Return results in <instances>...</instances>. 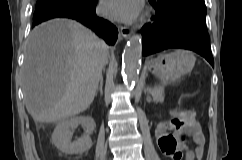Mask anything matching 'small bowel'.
<instances>
[{
	"mask_svg": "<svg viewBox=\"0 0 242 160\" xmlns=\"http://www.w3.org/2000/svg\"><path fill=\"white\" fill-rule=\"evenodd\" d=\"M173 129V133L168 130ZM160 150L172 160H195L201 158L205 139L199 124L192 114L185 112L178 115L176 122L166 123L156 133ZM187 138L194 143L187 145Z\"/></svg>",
	"mask_w": 242,
	"mask_h": 160,
	"instance_id": "c3829d8e",
	"label": "small bowel"
}]
</instances>
